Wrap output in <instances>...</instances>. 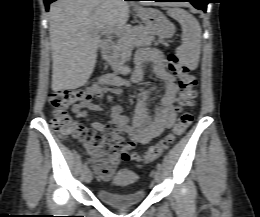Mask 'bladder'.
Returning <instances> with one entry per match:
<instances>
[{"label":"bladder","mask_w":260,"mask_h":217,"mask_svg":"<svg viewBox=\"0 0 260 217\" xmlns=\"http://www.w3.org/2000/svg\"><path fill=\"white\" fill-rule=\"evenodd\" d=\"M138 176L128 169H121L117 172L114 184L119 187H128L137 182ZM97 197L102 202L114 207H126L143 202L146 192L143 189H133L126 192H117L107 188H99Z\"/></svg>","instance_id":"31cf9c89"}]
</instances>
